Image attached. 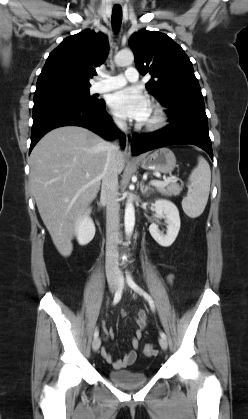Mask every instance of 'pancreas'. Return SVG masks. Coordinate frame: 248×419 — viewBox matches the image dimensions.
I'll list each match as a JSON object with an SVG mask.
<instances>
[{
    "label": "pancreas",
    "mask_w": 248,
    "mask_h": 419,
    "mask_svg": "<svg viewBox=\"0 0 248 419\" xmlns=\"http://www.w3.org/2000/svg\"><path fill=\"white\" fill-rule=\"evenodd\" d=\"M157 191L165 196H177L181 192V187L175 183H168L165 186L156 187Z\"/></svg>",
    "instance_id": "pancreas-1"
}]
</instances>
